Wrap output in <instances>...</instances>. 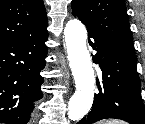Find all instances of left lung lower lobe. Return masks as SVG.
<instances>
[{"instance_id":"1","label":"left lung lower lobe","mask_w":145,"mask_h":124,"mask_svg":"<svg viewBox=\"0 0 145 124\" xmlns=\"http://www.w3.org/2000/svg\"><path fill=\"white\" fill-rule=\"evenodd\" d=\"M89 43L96 51L93 62L99 64L103 81H97L99 93L94 96L91 112L77 124L115 118L131 124H145V107L137 59L113 44L88 32Z\"/></svg>"}]
</instances>
